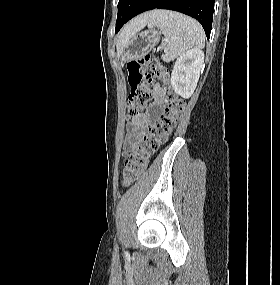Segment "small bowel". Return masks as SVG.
Here are the masks:
<instances>
[{"mask_svg":"<svg viewBox=\"0 0 280 285\" xmlns=\"http://www.w3.org/2000/svg\"><path fill=\"white\" fill-rule=\"evenodd\" d=\"M153 108L162 107L165 102V92L159 84L153 86ZM150 120L149 111H142L133 116L129 128L128 136L124 143V154L127 155L135 144L145 135Z\"/></svg>","mask_w":280,"mask_h":285,"instance_id":"c3829d8e","label":"small bowel"}]
</instances>
